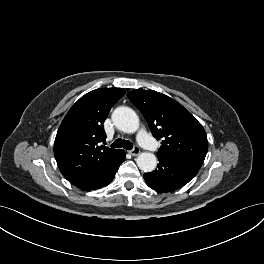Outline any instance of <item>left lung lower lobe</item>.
I'll list each match as a JSON object with an SVG mask.
<instances>
[{"instance_id": "obj_1", "label": "left lung lower lobe", "mask_w": 264, "mask_h": 264, "mask_svg": "<svg viewBox=\"0 0 264 264\" xmlns=\"http://www.w3.org/2000/svg\"><path fill=\"white\" fill-rule=\"evenodd\" d=\"M157 168L144 174L147 185L159 192H170L183 187L195 177L199 168L167 156H158Z\"/></svg>"}]
</instances>
